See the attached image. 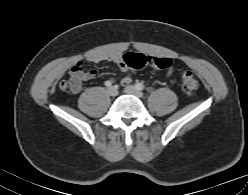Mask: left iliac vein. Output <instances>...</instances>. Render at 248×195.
Here are the masks:
<instances>
[{
    "instance_id": "4c4485c4",
    "label": "left iliac vein",
    "mask_w": 248,
    "mask_h": 195,
    "mask_svg": "<svg viewBox=\"0 0 248 195\" xmlns=\"http://www.w3.org/2000/svg\"><path fill=\"white\" fill-rule=\"evenodd\" d=\"M125 92L131 95H134L138 98H142L144 96V94L138 90L136 87L129 85L125 88Z\"/></svg>"
}]
</instances>
